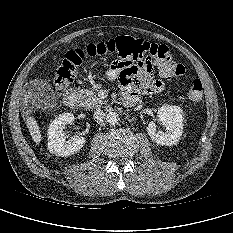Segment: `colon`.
<instances>
[{"instance_id":"colon-1","label":"colon","mask_w":233,"mask_h":233,"mask_svg":"<svg viewBox=\"0 0 233 233\" xmlns=\"http://www.w3.org/2000/svg\"><path fill=\"white\" fill-rule=\"evenodd\" d=\"M138 52L156 53L160 56L161 65L158 69L164 79L180 77L185 73L184 66L174 60L166 46L149 43L132 36H119L106 43L91 44L84 50L69 51L54 72V88L58 93L67 88L73 82L87 55L98 56L110 53L117 55L120 61L133 58ZM118 61L114 64L116 65ZM188 96L194 103H200L203 100V84L196 76L191 81Z\"/></svg>"}]
</instances>
